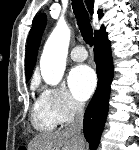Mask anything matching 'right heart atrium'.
<instances>
[{
    "mask_svg": "<svg viewBox=\"0 0 139 150\" xmlns=\"http://www.w3.org/2000/svg\"><path fill=\"white\" fill-rule=\"evenodd\" d=\"M42 95L52 107L60 123L71 122L83 111V105L63 87L46 88Z\"/></svg>",
    "mask_w": 139,
    "mask_h": 150,
    "instance_id": "d8ad5b80",
    "label": "right heart atrium"
}]
</instances>
